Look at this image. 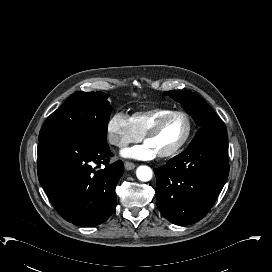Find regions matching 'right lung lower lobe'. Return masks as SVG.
<instances>
[{
	"mask_svg": "<svg viewBox=\"0 0 272 272\" xmlns=\"http://www.w3.org/2000/svg\"><path fill=\"white\" fill-rule=\"evenodd\" d=\"M110 157L106 140L94 137L61 135L40 141L39 182L65 220L88 227L111 215L124 167L121 161L111 163Z\"/></svg>",
	"mask_w": 272,
	"mask_h": 272,
	"instance_id": "98d812e1",
	"label": "right lung lower lobe"
}]
</instances>
